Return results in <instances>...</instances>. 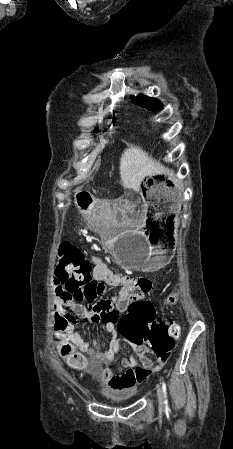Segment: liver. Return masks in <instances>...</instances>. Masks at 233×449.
Masks as SVG:
<instances>
[{
  "mask_svg": "<svg viewBox=\"0 0 233 449\" xmlns=\"http://www.w3.org/2000/svg\"><path fill=\"white\" fill-rule=\"evenodd\" d=\"M120 181L125 189L140 190L143 179L154 170V162L137 147L126 149L120 157Z\"/></svg>",
  "mask_w": 233,
  "mask_h": 449,
  "instance_id": "liver-1",
  "label": "liver"
}]
</instances>
